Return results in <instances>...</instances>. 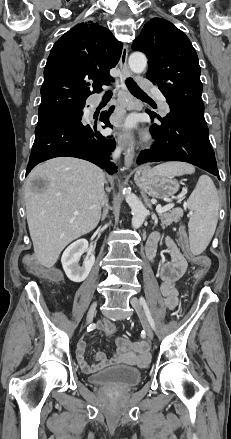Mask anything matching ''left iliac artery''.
<instances>
[{"instance_id": "1", "label": "left iliac artery", "mask_w": 231, "mask_h": 439, "mask_svg": "<svg viewBox=\"0 0 231 439\" xmlns=\"http://www.w3.org/2000/svg\"><path fill=\"white\" fill-rule=\"evenodd\" d=\"M140 303L142 304V306L144 308L145 314L147 316V319H148L152 329L155 330L154 320H153V318L151 316V313H150V310L148 308V305H147V303H146V301H145V299L143 297L140 298Z\"/></svg>"}]
</instances>
